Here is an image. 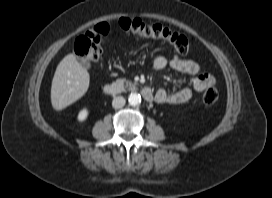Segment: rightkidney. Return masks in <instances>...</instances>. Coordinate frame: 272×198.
Segmentation results:
<instances>
[{
    "label": "right kidney",
    "mask_w": 272,
    "mask_h": 198,
    "mask_svg": "<svg viewBox=\"0 0 272 198\" xmlns=\"http://www.w3.org/2000/svg\"><path fill=\"white\" fill-rule=\"evenodd\" d=\"M87 117H88V109H87V108H83V109L79 112L77 118H78V121L83 122V121H85V120L87 119Z\"/></svg>",
    "instance_id": "1"
}]
</instances>
